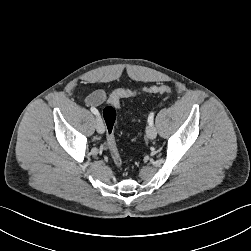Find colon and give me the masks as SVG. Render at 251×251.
Wrapping results in <instances>:
<instances>
[{"label":"colon","instance_id":"1","mask_svg":"<svg viewBox=\"0 0 251 251\" xmlns=\"http://www.w3.org/2000/svg\"><path fill=\"white\" fill-rule=\"evenodd\" d=\"M170 92L171 88L166 85L152 86L142 91V93L147 94H168ZM139 94L140 92L130 89L115 90L110 94L108 99V105L105 106L102 111V115L107 126V147L110 151L113 163L118 167L122 165L123 161L118 151L114 136V126L117 118L116 108L119 106L122 99L134 97Z\"/></svg>","mask_w":251,"mask_h":251}]
</instances>
